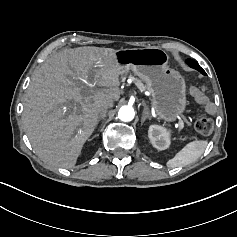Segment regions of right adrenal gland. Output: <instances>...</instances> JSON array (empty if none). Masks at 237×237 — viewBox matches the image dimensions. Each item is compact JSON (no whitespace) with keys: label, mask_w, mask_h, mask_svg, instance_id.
I'll return each instance as SVG.
<instances>
[{"label":"right adrenal gland","mask_w":237,"mask_h":237,"mask_svg":"<svg viewBox=\"0 0 237 237\" xmlns=\"http://www.w3.org/2000/svg\"><path fill=\"white\" fill-rule=\"evenodd\" d=\"M106 113H107L106 110H103V111L100 113V116H99V118H98V122L102 121V124H104V119H105ZM100 128H101V126L98 127V131L100 130Z\"/></svg>","instance_id":"right-adrenal-gland-1"}]
</instances>
